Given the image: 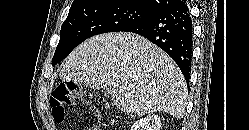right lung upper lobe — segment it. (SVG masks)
<instances>
[{
  "label": "right lung upper lobe",
  "mask_w": 249,
  "mask_h": 130,
  "mask_svg": "<svg viewBox=\"0 0 249 130\" xmlns=\"http://www.w3.org/2000/svg\"><path fill=\"white\" fill-rule=\"evenodd\" d=\"M95 1H100V0H74L70 9L84 4L92 3ZM123 1H128L129 3L139 6L141 8L151 10L155 13H159L160 11L174 4L177 0H123Z\"/></svg>",
  "instance_id": "1"
}]
</instances>
